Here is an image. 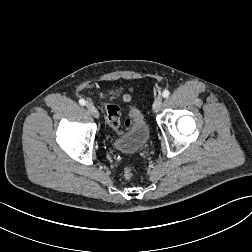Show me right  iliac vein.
Here are the masks:
<instances>
[{
  "mask_svg": "<svg viewBox=\"0 0 252 252\" xmlns=\"http://www.w3.org/2000/svg\"><path fill=\"white\" fill-rule=\"evenodd\" d=\"M86 107H87V110L89 111V113H90L93 117H95V118H98V117H99L98 110L96 109V107H95L93 104L88 103V104L86 105Z\"/></svg>",
  "mask_w": 252,
  "mask_h": 252,
  "instance_id": "1",
  "label": "right iliac vein"
}]
</instances>
